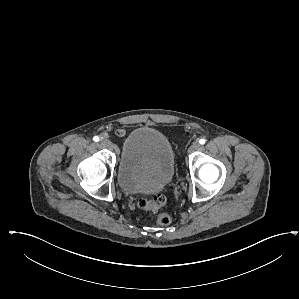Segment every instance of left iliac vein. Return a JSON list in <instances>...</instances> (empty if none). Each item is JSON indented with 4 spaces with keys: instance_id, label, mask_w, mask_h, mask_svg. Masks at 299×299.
I'll return each instance as SVG.
<instances>
[{
    "instance_id": "4c4485c4",
    "label": "left iliac vein",
    "mask_w": 299,
    "mask_h": 299,
    "mask_svg": "<svg viewBox=\"0 0 299 299\" xmlns=\"http://www.w3.org/2000/svg\"><path fill=\"white\" fill-rule=\"evenodd\" d=\"M199 148H200V144L198 142H193L191 144V146L189 147L188 152L193 153V152L197 151Z\"/></svg>"
}]
</instances>
